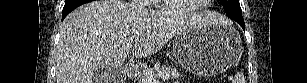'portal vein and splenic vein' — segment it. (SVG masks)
Wrapping results in <instances>:
<instances>
[{
    "label": "portal vein and splenic vein",
    "mask_w": 307,
    "mask_h": 83,
    "mask_svg": "<svg viewBox=\"0 0 307 83\" xmlns=\"http://www.w3.org/2000/svg\"><path fill=\"white\" fill-rule=\"evenodd\" d=\"M128 42L131 44L133 42V39H130ZM154 82L155 79L151 74L146 75L145 83H154Z\"/></svg>",
    "instance_id": "obj_1"
}]
</instances>
